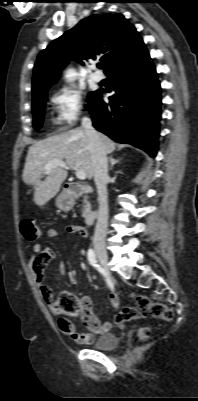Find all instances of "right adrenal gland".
Returning a JSON list of instances; mask_svg holds the SVG:
<instances>
[{"instance_id": "1", "label": "right adrenal gland", "mask_w": 198, "mask_h": 401, "mask_svg": "<svg viewBox=\"0 0 198 401\" xmlns=\"http://www.w3.org/2000/svg\"><path fill=\"white\" fill-rule=\"evenodd\" d=\"M120 160L121 159H114L113 156H110L109 157V163H110L109 170H111L115 164L119 163Z\"/></svg>"}]
</instances>
